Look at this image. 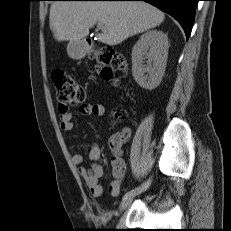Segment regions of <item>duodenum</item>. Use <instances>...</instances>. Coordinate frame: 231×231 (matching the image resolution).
Returning <instances> with one entry per match:
<instances>
[{
    "mask_svg": "<svg viewBox=\"0 0 231 231\" xmlns=\"http://www.w3.org/2000/svg\"><path fill=\"white\" fill-rule=\"evenodd\" d=\"M80 51L82 52H87L90 51L92 49V45L90 40H84L80 46H79Z\"/></svg>",
    "mask_w": 231,
    "mask_h": 231,
    "instance_id": "duodenum-1",
    "label": "duodenum"
}]
</instances>
